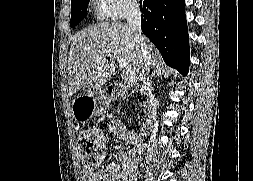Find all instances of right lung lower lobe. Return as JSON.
<instances>
[{
  "mask_svg": "<svg viewBox=\"0 0 253 181\" xmlns=\"http://www.w3.org/2000/svg\"><path fill=\"white\" fill-rule=\"evenodd\" d=\"M141 29L160 51L165 63L187 75L189 39L185 0H143Z\"/></svg>",
  "mask_w": 253,
  "mask_h": 181,
  "instance_id": "obj_1",
  "label": "right lung lower lobe"
}]
</instances>
